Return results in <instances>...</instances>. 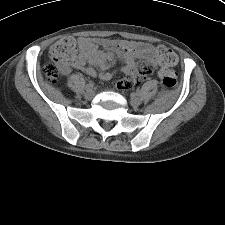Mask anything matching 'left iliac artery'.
<instances>
[{
    "label": "left iliac artery",
    "mask_w": 225,
    "mask_h": 225,
    "mask_svg": "<svg viewBox=\"0 0 225 225\" xmlns=\"http://www.w3.org/2000/svg\"><path fill=\"white\" fill-rule=\"evenodd\" d=\"M137 94H140V91H137Z\"/></svg>",
    "instance_id": "1"
}]
</instances>
